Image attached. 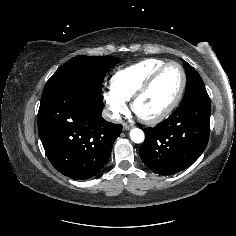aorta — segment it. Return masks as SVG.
Segmentation results:
<instances>
[{
	"label": "aorta",
	"mask_w": 236,
	"mask_h": 236,
	"mask_svg": "<svg viewBox=\"0 0 236 236\" xmlns=\"http://www.w3.org/2000/svg\"><path fill=\"white\" fill-rule=\"evenodd\" d=\"M130 138L134 143H142L145 139V135L141 129L133 128L130 131Z\"/></svg>",
	"instance_id": "aorta-1"
}]
</instances>
